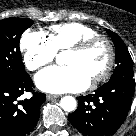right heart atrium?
I'll return each instance as SVG.
<instances>
[{"label":"right heart atrium","instance_id":"1","mask_svg":"<svg viewBox=\"0 0 136 136\" xmlns=\"http://www.w3.org/2000/svg\"><path fill=\"white\" fill-rule=\"evenodd\" d=\"M23 62L28 70L35 71L50 63L56 56V49L48 36L35 30H27L20 40Z\"/></svg>","mask_w":136,"mask_h":136}]
</instances>
